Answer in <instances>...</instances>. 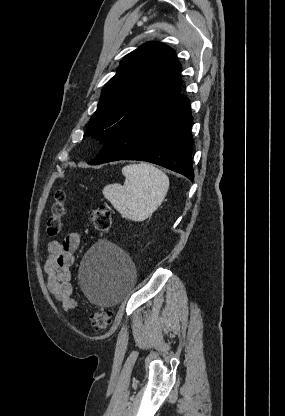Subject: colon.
<instances>
[{
	"label": "colon",
	"instance_id": "obj_1",
	"mask_svg": "<svg viewBox=\"0 0 285 416\" xmlns=\"http://www.w3.org/2000/svg\"><path fill=\"white\" fill-rule=\"evenodd\" d=\"M66 194L59 190L55 194L51 206V214L47 221V233L51 237L59 235L63 229L62 218L65 214ZM91 225L99 233H106L111 228V213L106 206L100 205L93 207L89 212ZM113 312L106 308H100L92 313L90 321L96 331L107 329L112 321Z\"/></svg>",
	"mask_w": 285,
	"mask_h": 416
}]
</instances>
